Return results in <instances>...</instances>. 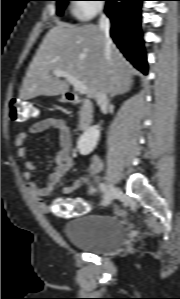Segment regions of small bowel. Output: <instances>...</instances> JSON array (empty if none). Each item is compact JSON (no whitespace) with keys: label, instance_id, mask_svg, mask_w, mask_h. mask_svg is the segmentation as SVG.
<instances>
[{"label":"small bowel","instance_id":"c3829d8e","mask_svg":"<svg viewBox=\"0 0 180 299\" xmlns=\"http://www.w3.org/2000/svg\"><path fill=\"white\" fill-rule=\"evenodd\" d=\"M47 130H54L58 133L60 149L55 156L56 167L50 174L48 182L44 186H38L33 178L32 172L37 169V165L29 160L26 148L23 146L29 135L43 133ZM17 146L16 154L20 158L25 167L23 174L26 190L29 197L37 204L42 212H50L53 209V204L50 207L43 198L48 196L53 188L59 184L64 175L72 168L75 159L72 152L71 130L68 122L58 116H49L32 124L26 132L19 133L14 140ZM90 169L93 174H98L102 169V164L98 159H94L90 164ZM82 185L80 178H75L62 189L63 194L69 195L75 192ZM94 189H89V194H92Z\"/></svg>","mask_w":180,"mask_h":299}]
</instances>
